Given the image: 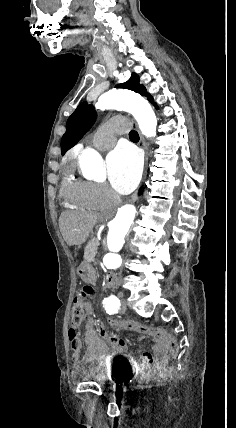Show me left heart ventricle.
I'll use <instances>...</instances> for the list:
<instances>
[{
	"mask_svg": "<svg viewBox=\"0 0 236 428\" xmlns=\"http://www.w3.org/2000/svg\"><path fill=\"white\" fill-rule=\"evenodd\" d=\"M96 180H97V181H101L102 179H101V178H97Z\"/></svg>",
	"mask_w": 236,
	"mask_h": 428,
	"instance_id": "1",
	"label": "left heart ventricle"
}]
</instances>
